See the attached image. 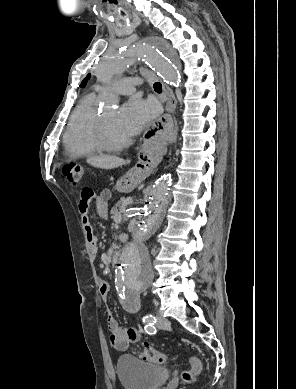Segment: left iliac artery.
<instances>
[{
    "mask_svg": "<svg viewBox=\"0 0 296 389\" xmlns=\"http://www.w3.org/2000/svg\"><path fill=\"white\" fill-rule=\"evenodd\" d=\"M143 322L145 323V331L148 334H155L156 330L154 324L156 323V318L153 315H146L143 317Z\"/></svg>",
    "mask_w": 296,
    "mask_h": 389,
    "instance_id": "1",
    "label": "left iliac artery"
}]
</instances>
